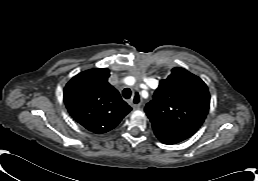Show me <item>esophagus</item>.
Masks as SVG:
<instances>
[{"label": "esophagus", "instance_id": "obj_1", "mask_svg": "<svg viewBox=\"0 0 258 181\" xmlns=\"http://www.w3.org/2000/svg\"><path fill=\"white\" fill-rule=\"evenodd\" d=\"M131 106L134 108V109H139L140 106H141V98H140V95L138 92H136L134 95H133V98L131 99V102H130Z\"/></svg>", "mask_w": 258, "mask_h": 181}]
</instances>
